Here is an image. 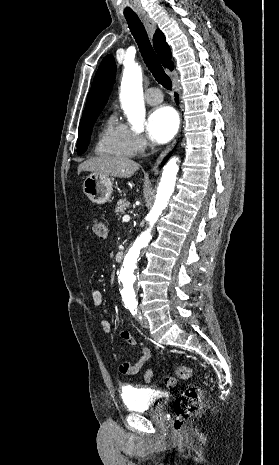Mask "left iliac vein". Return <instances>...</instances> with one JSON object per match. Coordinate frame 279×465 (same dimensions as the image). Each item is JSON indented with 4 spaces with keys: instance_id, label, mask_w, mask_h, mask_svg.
<instances>
[{
    "instance_id": "1",
    "label": "left iliac vein",
    "mask_w": 279,
    "mask_h": 465,
    "mask_svg": "<svg viewBox=\"0 0 279 465\" xmlns=\"http://www.w3.org/2000/svg\"><path fill=\"white\" fill-rule=\"evenodd\" d=\"M140 324L143 328H148L149 327V322L147 318L143 315L140 316Z\"/></svg>"
}]
</instances>
